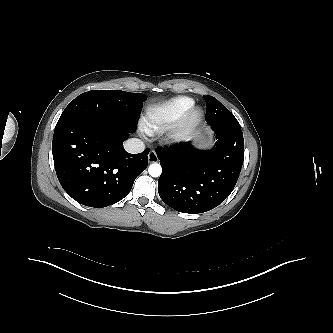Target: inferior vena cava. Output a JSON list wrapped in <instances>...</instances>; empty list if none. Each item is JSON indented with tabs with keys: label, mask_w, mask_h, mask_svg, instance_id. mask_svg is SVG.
I'll return each instance as SVG.
<instances>
[{
	"label": "inferior vena cava",
	"mask_w": 333,
	"mask_h": 333,
	"mask_svg": "<svg viewBox=\"0 0 333 333\" xmlns=\"http://www.w3.org/2000/svg\"><path fill=\"white\" fill-rule=\"evenodd\" d=\"M124 148L129 153L137 154L144 151L145 144L140 139L131 138L124 143Z\"/></svg>",
	"instance_id": "1"
}]
</instances>
